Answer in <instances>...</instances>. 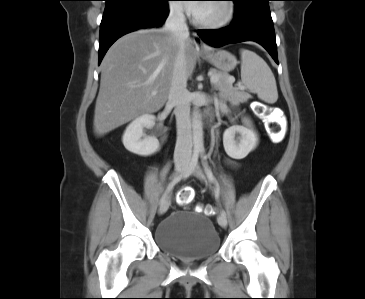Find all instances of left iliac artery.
<instances>
[{
    "label": "left iliac artery",
    "mask_w": 365,
    "mask_h": 299,
    "mask_svg": "<svg viewBox=\"0 0 365 299\" xmlns=\"http://www.w3.org/2000/svg\"><path fill=\"white\" fill-rule=\"evenodd\" d=\"M201 156H202V163H203V167H204L205 173H206V175H207L208 179H209L210 181H212V182L214 183V185H215V197H216V199L218 200V199H219V194H220L219 184H218V182L216 181V178H215V176L213 175V173H212V171H211L210 167L208 166V163H207L206 158H205V156H204V150H201ZM220 213H221L222 215L226 216V212H225L223 209H221Z\"/></svg>",
    "instance_id": "44dca946"
}]
</instances>
